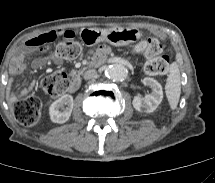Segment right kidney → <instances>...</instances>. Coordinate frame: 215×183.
Returning a JSON list of instances; mask_svg holds the SVG:
<instances>
[{"mask_svg":"<svg viewBox=\"0 0 215 183\" xmlns=\"http://www.w3.org/2000/svg\"><path fill=\"white\" fill-rule=\"evenodd\" d=\"M73 97L65 94L54 101L49 107V114L52 122L63 124L67 122L73 110Z\"/></svg>","mask_w":215,"mask_h":183,"instance_id":"1","label":"right kidney"}]
</instances>
